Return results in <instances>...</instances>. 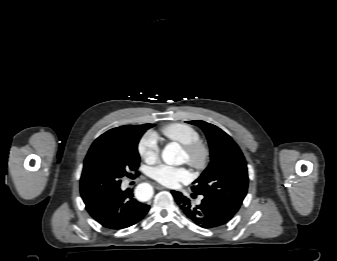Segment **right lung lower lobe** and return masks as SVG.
<instances>
[{"label": "right lung lower lobe", "instance_id": "1", "mask_svg": "<svg viewBox=\"0 0 337 261\" xmlns=\"http://www.w3.org/2000/svg\"><path fill=\"white\" fill-rule=\"evenodd\" d=\"M85 205L98 223L114 230L136 224L149 210L148 205L133 198L132 190L122 191L120 185L85 202Z\"/></svg>", "mask_w": 337, "mask_h": 261}]
</instances>
